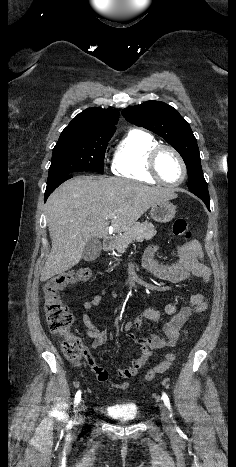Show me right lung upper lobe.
<instances>
[{"label": "right lung upper lobe", "mask_w": 236, "mask_h": 467, "mask_svg": "<svg viewBox=\"0 0 236 467\" xmlns=\"http://www.w3.org/2000/svg\"><path fill=\"white\" fill-rule=\"evenodd\" d=\"M118 119L117 110L89 108L78 114L63 132L114 133Z\"/></svg>", "instance_id": "right-lung-upper-lobe-1"}]
</instances>
